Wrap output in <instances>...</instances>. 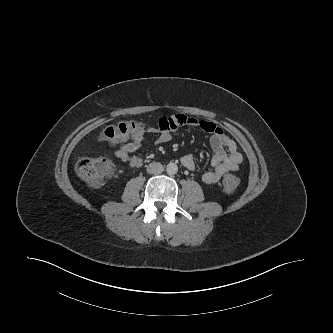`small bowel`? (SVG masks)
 Segmentation results:
<instances>
[{
  "mask_svg": "<svg viewBox=\"0 0 333 333\" xmlns=\"http://www.w3.org/2000/svg\"><path fill=\"white\" fill-rule=\"evenodd\" d=\"M182 125L198 127L210 134V146L213 151L211 164L213 169L202 173L201 178L204 183L214 184L226 173L238 170L243 158L235 141L227 137L222 129L212 122L197 120L182 114L165 116L159 119L158 127L150 128L148 133L155 136V144H164L169 142L174 135L179 134V127ZM144 140L145 132L143 131L129 141L120 144L115 152L116 157L132 167L141 166L143 158L133 153L142 147ZM181 163L189 170L195 168L194 158L190 154L183 155Z\"/></svg>",
  "mask_w": 333,
  "mask_h": 333,
  "instance_id": "obj_1",
  "label": "small bowel"
}]
</instances>
